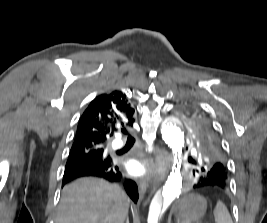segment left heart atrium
Masks as SVG:
<instances>
[{"label": "left heart atrium", "mask_w": 267, "mask_h": 223, "mask_svg": "<svg viewBox=\"0 0 267 223\" xmlns=\"http://www.w3.org/2000/svg\"><path fill=\"white\" fill-rule=\"evenodd\" d=\"M126 167L128 172L135 176H140L147 172V165L140 159L129 160L126 164Z\"/></svg>", "instance_id": "obj_1"}]
</instances>
